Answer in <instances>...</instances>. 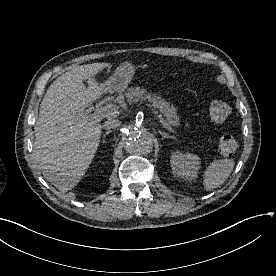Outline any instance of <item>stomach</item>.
<instances>
[{
  "mask_svg": "<svg viewBox=\"0 0 276 276\" xmlns=\"http://www.w3.org/2000/svg\"><path fill=\"white\" fill-rule=\"evenodd\" d=\"M136 69L135 64L130 61L121 63L113 75L103 84L104 92H124L132 81Z\"/></svg>",
  "mask_w": 276,
  "mask_h": 276,
  "instance_id": "0dacf381",
  "label": "stomach"
}]
</instances>
